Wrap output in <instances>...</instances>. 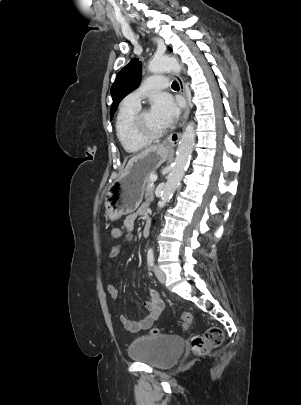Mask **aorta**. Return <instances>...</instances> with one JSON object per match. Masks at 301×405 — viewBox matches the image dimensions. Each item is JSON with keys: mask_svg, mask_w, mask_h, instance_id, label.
Wrapping results in <instances>:
<instances>
[{"mask_svg": "<svg viewBox=\"0 0 301 405\" xmlns=\"http://www.w3.org/2000/svg\"><path fill=\"white\" fill-rule=\"evenodd\" d=\"M153 73H164L168 71H181V65L175 57L162 56L154 58L148 66ZM195 141V126L193 122H189L185 127L182 137L179 141L176 158L172 170L168 176L167 182L162 191L158 207L163 208L166 203L172 198L173 193L180 184L185 170L189 164L190 157L193 151Z\"/></svg>", "mask_w": 301, "mask_h": 405, "instance_id": "obj_1", "label": "aorta"}]
</instances>
